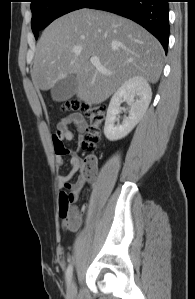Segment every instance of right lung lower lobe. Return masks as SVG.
Returning a JSON list of instances; mask_svg holds the SVG:
<instances>
[{
	"mask_svg": "<svg viewBox=\"0 0 195 299\" xmlns=\"http://www.w3.org/2000/svg\"><path fill=\"white\" fill-rule=\"evenodd\" d=\"M85 8L109 11L137 22L154 35L167 52L168 0H91Z\"/></svg>",
	"mask_w": 195,
	"mask_h": 299,
	"instance_id": "1",
	"label": "right lung lower lobe"
}]
</instances>
